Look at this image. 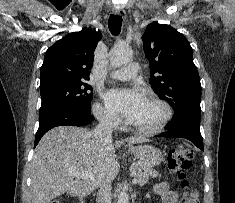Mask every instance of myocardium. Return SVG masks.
Segmentation results:
<instances>
[{"label": "myocardium", "mask_w": 235, "mask_h": 203, "mask_svg": "<svg viewBox=\"0 0 235 203\" xmlns=\"http://www.w3.org/2000/svg\"><path fill=\"white\" fill-rule=\"evenodd\" d=\"M147 101L156 104L161 108L162 116L160 120L154 126L151 127H137L131 123L128 124V127L131 131L139 135H156L163 132L167 125L170 123L173 116V110L170 104L163 99L157 97H150L147 99Z\"/></svg>", "instance_id": "obj_1"}]
</instances>
